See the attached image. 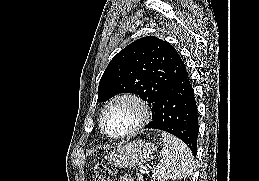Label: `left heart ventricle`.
<instances>
[{
    "label": "left heart ventricle",
    "mask_w": 259,
    "mask_h": 181,
    "mask_svg": "<svg viewBox=\"0 0 259 181\" xmlns=\"http://www.w3.org/2000/svg\"><path fill=\"white\" fill-rule=\"evenodd\" d=\"M137 120L136 107L129 102H120L108 110L105 125L110 133L121 134L132 128Z\"/></svg>",
    "instance_id": "obj_1"
}]
</instances>
